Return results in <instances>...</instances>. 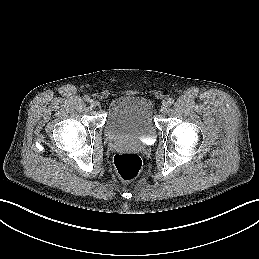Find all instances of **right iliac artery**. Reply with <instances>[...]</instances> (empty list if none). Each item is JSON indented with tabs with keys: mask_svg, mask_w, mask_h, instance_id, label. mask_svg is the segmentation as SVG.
<instances>
[{
	"mask_svg": "<svg viewBox=\"0 0 259 259\" xmlns=\"http://www.w3.org/2000/svg\"><path fill=\"white\" fill-rule=\"evenodd\" d=\"M83 99L85 100V101H90V97L88 96V95H85L84 97H83Z\"/></svg>",
	"mask_w": 259,
	"mask_h": 259,
	"instance_id": "right-iliac-artery-1",
	"label": "right iliac artery"
}]
</instances>
